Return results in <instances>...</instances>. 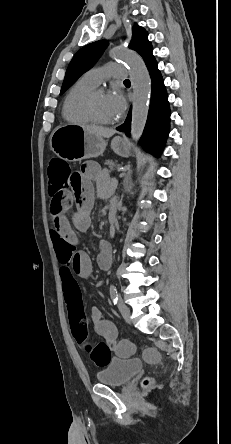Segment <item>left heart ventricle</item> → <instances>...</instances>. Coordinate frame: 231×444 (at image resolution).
<instances>
[{"mask_svg": "<svg viewBox=\"0 0 231 444\" xmlns=\"http://www.w3.org/2000/svg\"><path fill=\"white\" fill-rule=\"evenodd\" d=\"M93 108L96 116L102 120H111L116 118L108 103L106 94H98L95 97Z\"/></svg>", "mask_w": 231, "mask_h": 444, "instance_id": "left-heart-ventricle-1", "label": "left heart ventricle"}]
</instances>
